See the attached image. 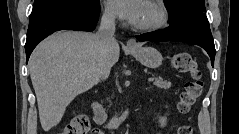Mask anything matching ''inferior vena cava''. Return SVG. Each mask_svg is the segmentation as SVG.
<instances>
[{
	"instance_id": "obj_1",
	"label": "inferior vena cava",
	"mask_w": 239,
	"mask_h": 134,
	"mask_svg": "<svg viewBox=\"0 0 239 134\" xmlns=\"http://www.w3.org/2000/svg\"><path fill=\"white\" fill-rule=\"evenodd\" d=\"M115 26V15L111 10L105 9L97 32L99 48L96 55L95 65L96 76L101 80H106L110 73V49L116 42L114 38Z\"/></svg>"
}]
</instances>
